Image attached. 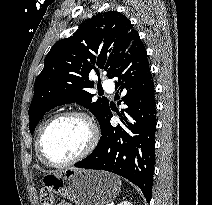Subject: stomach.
<instances>
[{
    "label": "stomach",
    "instance_id": "1",
    "mask_svg": "<svg viewBox=\"0 0 212 205\" xmlns=\"http://www.w3.org/2000/svg\"><path fill=\"white\" fill-rule=\"evenodd\" d=\"M42 187L76 205H106L119 194L116 176L100 170L69 168L43 176Z\"/></svg>",
    "mask_w": 212,
    "mask_h": 205
}]
</instances>
